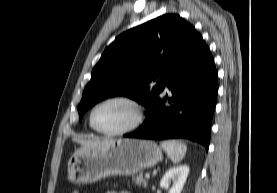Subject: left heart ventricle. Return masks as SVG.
Segmentation results:
<instances>
[{
    "mask_svg": "<svg viewBox=\"0 0 277 193\" xmlns=\"http://www.w3.org/2000/svg\"><path fill=\"white\" fill-rule=\"evenodd\" d=\"M135 109L124 102H109L99 106L93 116L95 125L104 131H117L131 125Z\"/></svg>",
    "mask_w": 277,
    "mask_h": 193,
    "instance_id": "left-heart-ventricle-1",
    "label": "left heart ventricle"
}]
</instances>
